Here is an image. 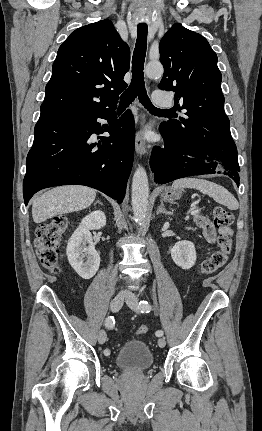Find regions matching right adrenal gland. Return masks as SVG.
I'll return each mask as SVG.
<instances>
[{
	"label": "right adrenal gland",
	"mask_w": 262,
	"mask_h": 431,
	"mask_svg": "<svg viewBox=\"0 0 262 431\" xmlns=\"http://www.w3.org/2000/svg\"><path fill=\"white\" fill-rule=\"evenodd\" d=\"M97 203H99V204H101V205H102V202H100L99 200H97V201L95 202V204H97Z\"/></svg>",
	"instance_id": "right-adrenal-gland-1"
}]
</instances>
